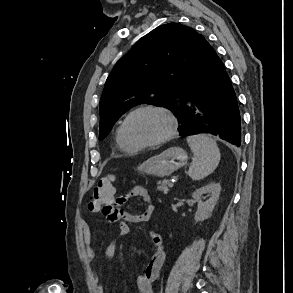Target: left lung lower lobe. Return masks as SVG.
<instances>
[{"instance_id": "1", "label": "left lung lower lobe", "mask_w": 293, "mask_h": 293, "mask_svg": "<svg viewBox=\"0 0 293 293\" xmlns=\"http://www.w3.org/2000/svg\"><path fill=\"white\" fill-rule=\"evenodd\" d=\"M180 136L208 133L241 144V119L230 78L213 49L203 80L181 102Z\"/></svg>"}]
</instances>
